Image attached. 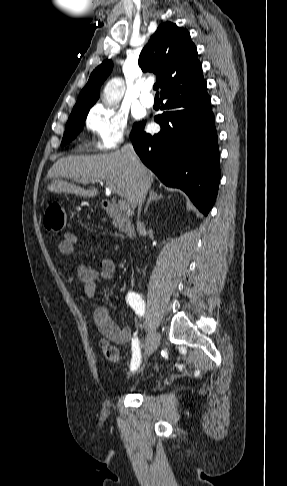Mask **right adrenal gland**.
<instances>
[{
    "label": "right adrenal gland",
    "instance_id": "1",
    "mask_svg": "<svg viewBox=\"0 0 287 486\" xmlns=\"http://www.w3.org/2000/svg\"><path fill=\"white\" fill-rule=\"evenodd\" d=\"M161 198H163V195L158 194V193H157V192H155L154 190H151V191H150V196H149V199H148V201H147V203H146V207H145V209H144V212H145V213L147 212L148 207H149V205H150V203H151L152 201H158V200H159V199H161Z\"/></svg>",
    "mask_w": 287,
    "mask_h": 486
}]
</instances>
